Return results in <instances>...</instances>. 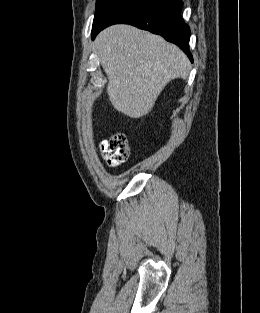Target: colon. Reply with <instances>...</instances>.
Instances as JSON below:
<instances>
[{
	"mask_svg": "<svg viewBox=\"0 0 260 313\" xmlns=\"http://www.w3.org/2000/svg\"><path fill=\"white\" fill-rule=\"evenodd\" d=\"M101 153L109 167L115 168L129 157L126 135L117 133L101 143Z\"/></svg>",
	"mask_w": 260,
	"mask_h": 313,
	"instance_id": "obj_1",
	"label": "colon"
}]
</instances>
